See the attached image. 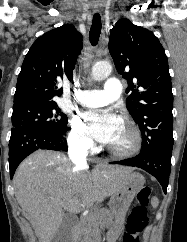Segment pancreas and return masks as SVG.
Here are the masks:
<instances>
[{"mask_svg":"<svg viewBox=\"0 0 187 242\" xmlns=\"http://www.w3.org/2000/svg\"><path fill=\"white\" fill-rule=\"evenodd\" d=\"M109 215L107 209H100L81 217L74 231L75 242H94L99 228L110 226Z\"/></svg>","mask_w":187,"mask_h":242,"instance_id":"cf45deb5","label":"pancreas"}]
</instances>
